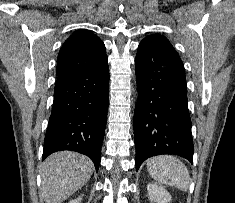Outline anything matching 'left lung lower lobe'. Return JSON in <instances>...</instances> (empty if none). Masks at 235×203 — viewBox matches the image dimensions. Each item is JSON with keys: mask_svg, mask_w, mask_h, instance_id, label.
<instances>
[{"mask_svg": "<svg viewBox=\"0 0 235 203\" xmlns=\"http://www.w3.org/2000/svg\"><path fill=\"white\" fill-rule=\"evenodd\" d=\"M136 170L147 158L173 154L193 162L194 145L183 63L172 45L142 40L135 58Z\"/></svg>", "mask_w": 235, "mask_h": 203, "instance_id": "1", "label": "left lung lower lobe"}]
</instances>
